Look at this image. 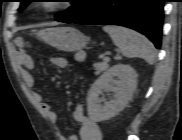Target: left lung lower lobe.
Here are the masks:
<instances>
[{
  "label": "left lung lower lobe",
  "mask_w": 182,
  "mask_h": 140,
  "mask_svg": "<svg viewBox=\"0 0 182 140\" xmlns=\"http://www.w3.org/2000/svg\"><path fill=\"white\" fill-rule=\"evenodd\" d=\"M166 0H102L92 12L72 22L89 25H120L146 35L161 46L163 7Z\"/></svg>",
  "instance_id": "left-lung-lower-lobe-1"
}]
</instances>
